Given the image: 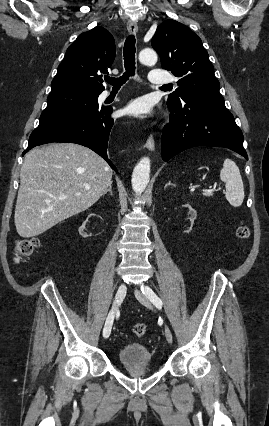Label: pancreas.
Returning a JSON list of instances; mask_svg holds the SVG:
<instances>
[{
  "label": "pancreas",
  "instance_id": "cf45deb5",
  "mask_svg": "<svg viewBox=\"0 0 269 426\" xmlns=\"http://www.w3.org/2000/svg\"><path fill=\"white\" fill-rule=\"evenodd\" d=\"M203 195L204 196H211L212 194L204 192Z\"/></svg>",
  "mask_w": 269,
  "mask_h": 426
}]
</instances>
